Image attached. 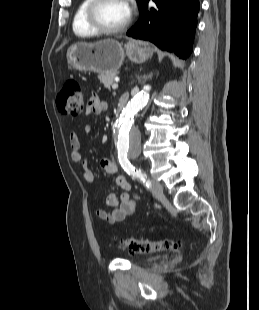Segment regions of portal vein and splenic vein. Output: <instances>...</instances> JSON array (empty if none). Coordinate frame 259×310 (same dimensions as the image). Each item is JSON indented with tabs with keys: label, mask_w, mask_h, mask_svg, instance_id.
Segmentation results:
<instances>
[{
	"label": "portal vein and splenic vein",
	"mask_w": 259,
	"mask_h": 310,
	"mask_svg": "<svg viewBox=\"0 0 259 310\" xmlns=\"http://www.w3.org/2000/svg\"><path fill=\"white\" fill-rule=\"evenodd\" d=\"M112 88H113V89H117V88H118V84H117V83H114V84L112 85Z\"/></svg>",
	"instance_id": "portal-vein-and-splenic-vein-1"
}]
</instances>
